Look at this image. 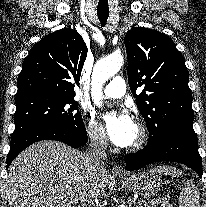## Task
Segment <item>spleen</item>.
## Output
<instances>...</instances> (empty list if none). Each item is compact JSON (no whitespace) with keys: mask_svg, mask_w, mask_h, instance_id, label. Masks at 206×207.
Segmentation results:
<instances>
[{"mask_svg":"<svg viewBox=\"0 0 206 207\" xmlns=\"http://www.w3.org/2000/svg\"><path fill=\"white\" fill-rule=\"evenodd\" d=\"M152 171L173 177L182 176V172L173 166H157ZM178 202L179 207H200V195L195 184L189 180L183 181Z\"/></svg>","mask_w":206,"mask_h":207,"instance_id":"obj_1","label":"spleen"}]
</instances>
